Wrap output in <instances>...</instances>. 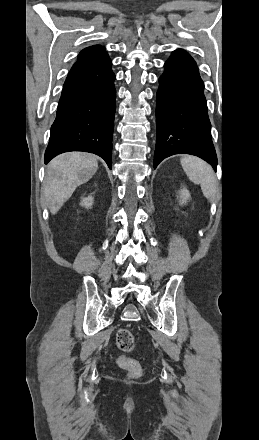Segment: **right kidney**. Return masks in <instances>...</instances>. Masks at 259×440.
<instances>
[{"label":"right kidney","mask_w":259,"mask_h":440,"mask_svg":"<svg viewBox=\"0 0 259 440\" xmlns=\"http://www.w3.org/2000/svg\"><path fill=\"white\" fill-rule=\"evenodd\" d=\"M93 202H94V197L92 195H89L82 199L80 205L85 207L86 209H89L92 207Z\"/></svg>","instance_id":"1"}]
</instances>
